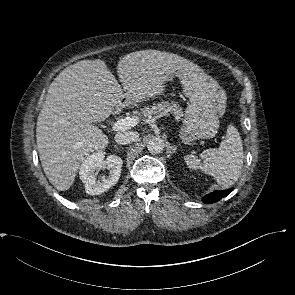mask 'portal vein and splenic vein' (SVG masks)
<instances>
[{
	"instance_id": "1",
	"label": "portal vein and splenic vein",
	"mask_w": 295,
	"mask_h": 295,
	"mask_svg": "<svg viewBox=\"0 0 295 295\" xmlns=\"http://www.w3.org/2000/svg\"><path fill=\"white\" fill-rule=\"evenodd\" d=\"M138 124L137 117H125L124 119H120L116 121L113 126V131H120V130H127L130 129Z\"/></svg>"
}]
</instances>
